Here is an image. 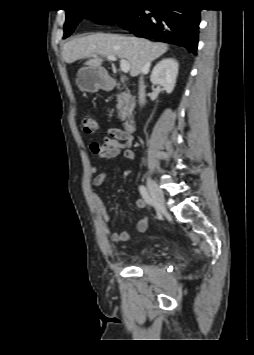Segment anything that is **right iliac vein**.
Wrapping results in <instances>:
<instances>
[{
  "instance_id": "1",
  "label": "right iliac vein",
  "mask_w": 254,
  "mask_h": 355,
  "mask_svg": "<svg viewBox=\"0 0 254 355\" xmlns=\"http://www.w3.org/2000/svg\"><path fill=\"white\" fill-rule=\"evenodd\" d=\"M147 186L158 210L162 213H166L165 198L162 190L150 177H147Z\"/></svg>"
}]
</instances>
